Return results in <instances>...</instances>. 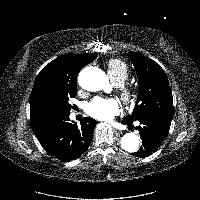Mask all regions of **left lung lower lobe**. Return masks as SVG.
I'll use <instances>...</instances> for the list:
<instances>
[{
	"instance_id": "left-lung-lower-lobe-1",
	"label": "left lung lower lobe",
	"mask_w": 200,
	"mask_h": 200,
	"mask_svg": "<svg viewBox=\"0 0 200 200\" xmlns=\"http://www.w3.org/2000/svg\"><path fill=\"white\" fill-rule=\"evenodd\" d=\"M138 120L141 125L136 129L140 131L142 147L132 155L143 158L151 155L159 148L169 132L171 120H162L154 115H147ZM133 122L125 118L122 120V124L131 125Z\"/></svg>"
}]
</instances>
